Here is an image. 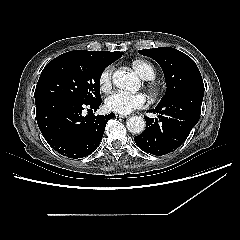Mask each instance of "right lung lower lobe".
I'll use <instances>...</instances> for the list:
<instances>
[{
  "mask_svg": "<svg viewBox=\"0 0 240 240\" xmlns=\"http://www.w3.org/2000/svg\"><path fill=\"white\" fill-rule=\"evenodd\" d=\"M36 103V120L47 143L58 153L78 159L91 154L100 144L106 123L114 113L82 115L87 106L96 111L101 100L84 104L64 96L42 98Z\"/></svg>",
  "mask_w": 240,
  "mask_h": 240,
  "instance_id": "98d812e1",
  "label": "right lung lower lobe"
}]
</instances>
